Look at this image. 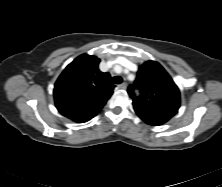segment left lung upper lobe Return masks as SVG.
Segmentation results:
<instances>
[{
  "label": "left lung upper lobe",
  "mask_w": 222,
  "mask_h": 187,
  "mask_svg": "<svg viewBox=\"0 0 222 187\" xmlns=\"http://www.w3.org/2000/svg\"><path fill=\"white\" fill-rule=\"evenodd\" d=\"M134 89L140 91L136 97ZM128 93L133 106L145 111L175 115L180 107V91L165 69L155 61L139 67L135 84Z\"/></svg>",
  "instance_id": "obj_1"
}]
</instances>
